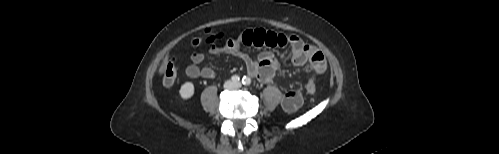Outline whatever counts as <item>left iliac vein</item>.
Returning a JSON list of instances; mask_svg holds the SVG:
<instances>
[{
    "label": "left iliac vein",
    "mask_w": 499,
    "mask_h": 154,
    "mask_svg": "<svg viewBox=\"0 0 499 154\" xmlns=\"http://www.w3.org/2000/svg\"><path fill=\"white\" fill-rule=\"evenodd\" d=\"M236 86H238V87H239V86H240V84L238 83V84H236Z\"/></svg>",
    "instance_id": "4c4485c4"
}]
</instances>
